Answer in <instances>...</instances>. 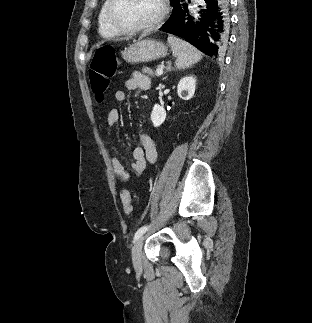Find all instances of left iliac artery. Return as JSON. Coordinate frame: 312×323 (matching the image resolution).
I'll return each mask as SVG.
<instances>
[{"label":"left iliac artery","instance_id":"44dca946","mask_svg":"<svg viewBox=\"0 0 312 323\" xmlns=\"http://www.w3.org/2000/svg\"><path fill=\"white\" fill-rule=\"evenodd\" d=\"M148 226H142L140 227L137 232L135 233L134 239L137 240L140 236H142L147 230Z\"/></svg>","mask_w":312,"mask_h":323}]
</instances>
